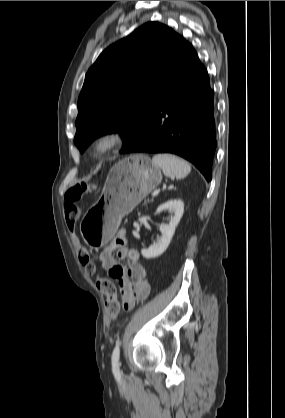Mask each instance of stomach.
<instances>
[{
	"label": "stomach",
	"mask_w": 285,
	"mask_h": 418,
	"mask_svg": "<svg viewBox=\"0 0 285 418\" xmlns=\"http://www.w3.org/2000/svg\"><path fill=\"white\" fill-rule=\"evenodd\" d=\"M161 181V169L147 155L134 154L120 160L110 170L100 198L80 223L84 241L95 247L106 245L121 219Z\"/></svg>",
	"instance_id": "1"
}]
</instances>
